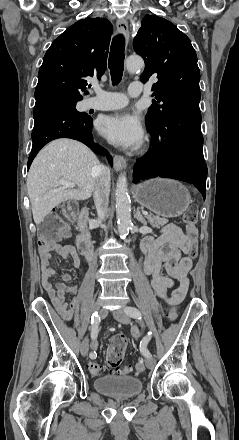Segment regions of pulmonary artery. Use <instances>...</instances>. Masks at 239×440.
Instances as JSON below:
<instances>
[{
	"instance_id": "pulmonary-artery-1",
	"label": "pulmonary artery",
	"mask_w": 239,
	"mask_h": 440,
	"mask_svg": "<svg viewBox=\"0 0 239 440\" xmlns=\"http://www.w3.org/2000/svg\"><path fill=\"white\" fill-rule=\"evenodd\" d=\"M143 90V85L139 82L131 83L128 87V94L130 96H138L141 94ZM92 92L95 93L96 96H111L114 97L115 100L111 102H97L94 98H88L85 101V109H96V110H113L118 109L125 106L128 103V98L124 93L117 92H109L102 90L98 85L94 84L92 86Z\"/></svg>"
}]
</instances>
